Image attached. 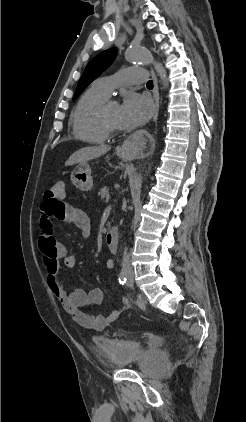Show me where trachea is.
<instances>
[{
	"mask_svg": "<svg viewBox=\"0 0 246 422\" xmlns=\"http://www.w3.org/2000/svg\"><path fill=\"white\" fill-rule=\"evenodd\" d=\"M147 87H152L153 88V81L152 80H149L147 82Z\"/></svg>",
	"mask_w": 246,
	"mask_h": 422,
	"instance_id": "3493384b",
	"label": "trachea"
}]
</instances>
